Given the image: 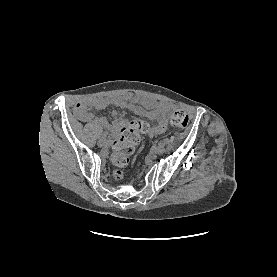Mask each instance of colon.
Wrapping results in <instances>:
<instances>
[{
  "instance_id": "5ec220e1",
  "label": "colon",
  "mask_w": 277,
  "mask_h": 277,
  "mask_svg": "<svg viewBox=\"0 0 277 277\" xmlns=\"http://www.w3.org/2000/svg\"><path fill=\"white\" fill-rule=\"evenodd\" d=\"M189 116L183 110H175L170 118L171 127L180 131L187 127ZM150 125L145 120L132 118L121 132V135L113 143L112 162L115 166L113 176L116 180L124 177V168L129 164L137 145L140 142L141 134L148 132Z\"/></svg>"
}]
</instances>
